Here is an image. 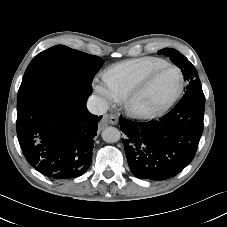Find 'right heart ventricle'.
Wrapping results in <instances>:
<instances>
[{
  "label": "right heart ventricle",
  "mask_w": 227,
  "mask_h": 227,
  "mask_svg": "<svg viewBox=\"0 0 227 227\" xmlns=\"http://www.w3.org/2000/svg\"><path fill=\"white\" fill-rule=\"evenodd\" d=\"M168 64L158 57H143L125 61L108 69L103 78L117 98L124 97L155 69Z\"/></svg>",
  "instance_id": "1"
}]
</instances>
